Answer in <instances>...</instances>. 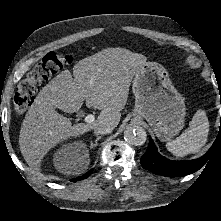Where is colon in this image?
Masks as SVG:
<instances>
[{
	"mask_svg": "<svg viewBox=\"0 0 221 221\" xmlns=\"http://www.w3.org/2000/svg\"><path fill=\"white\" fill-rule=\"evenodd\" d=\"M71 62V56L62 52L46 54L18 84L13 97L15 115H23L33 104L38 86L49 80Z\"/></svg>",
	"mask_w": 221,
	"mask_h": 221,
	"instance_id": "obj_1",
	"label": "colon"
}]
</instances>
